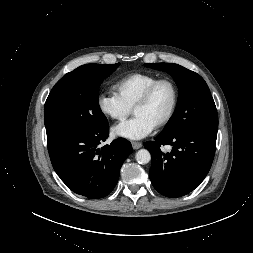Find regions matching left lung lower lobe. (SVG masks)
<instances>
[{
  "label": "left lung lower lobe",
  "instance_id": "1",
  "mask_svg": "<svg viewBox=\"0 0 253 253\" xmlns=\"http://www.w3.org/2000/svg\"><path fill=\"white\" fill-rule=\"evenodd\" d=\"M217 133L190 130L172 137L158 135L144 147L151 153L150 179L154 188L167 197H180L193 191L204 180L212 165ZM161 145H171L163 153Z\"/></svg>",
  "mask_w": 253,
  "mask_h": 253
}]
</instances>
